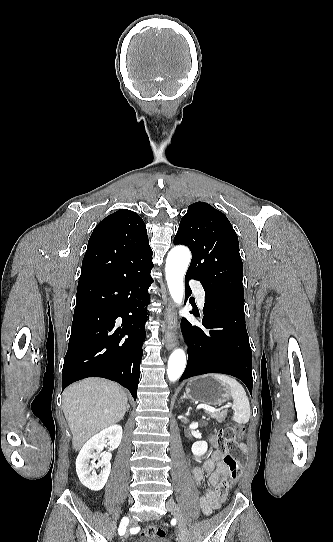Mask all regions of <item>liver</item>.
I'll return each instance as SVG.
<instances>
[{"mask_svg":"<svg viewBox=\"0 0 333 542\" xmlns=\"http://www.w3.org/2000/svg\"><path fill=\"white\" fill-rule=\"evenodd\" d=\"M127 396L114 382L86 378L63 392V412L72 432L74 450L108 426L123 420Z\"/></svg>","mask_w":333,"mask_h":542,"instance_id":"1","label":"liver"}]
</instances>
